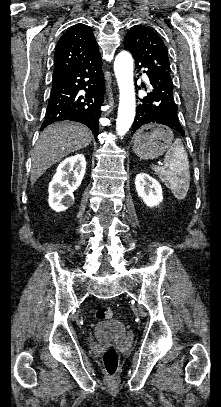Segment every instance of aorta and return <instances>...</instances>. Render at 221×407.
<instances>
[{
  "label": "aorta",
  "mask_w": 221,
  "mask_h": 407,
  "mask_svg": "<svg viewBox=\"0 0 221 407\" xmlns=\"http://www.w3.org/2000/svg\"><path fill=\"white\" fill-rule=\"evenodd\" d=\"M114 71L120 92L116 131L122 137L130 129L135 117L133 59L129 52L123 51L116 56Z\"/></svg>",
  "instance_id": "1"
}]
</instances>
